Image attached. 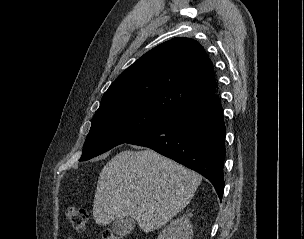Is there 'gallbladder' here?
<instances>
[{"label": "gallbladder", "instance_id": "gallbladder-1", "mask_svg": "<svg viewBox=\"0 0 304 239\" xmlns=\"http://www.w3.org/2000/svg\"><path fill=\"white\" fill-rule=\"evenodd\" d=\"M136 226V221L131 217L116 219L112 224V231L118 236L129 235Z\"/></svg>", "mask_w": 304, "mask_h": 239}]
</instances>
